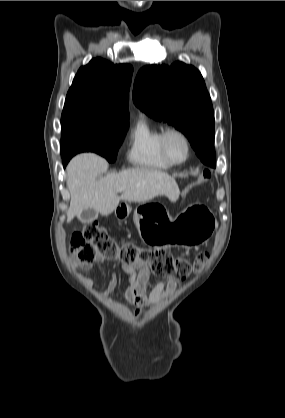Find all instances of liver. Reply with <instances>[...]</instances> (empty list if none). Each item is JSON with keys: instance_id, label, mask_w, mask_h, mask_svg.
Masks as SVG:
<instances>
[{"instance_id": "liver-1", "label": "liver", "mask_w": 285, "mask_h": 418, "mask_svg": "<svg viewBox=\"0 0 285 418\" xmlns=\"http://www.w3.org/2000/svg\"><path fill=\"white\" fill-rule=\"evenodd\" d=\"M108 162L93 153L75 156L67 166V186L71 195L67 211V221L82 212L93 208L101 215L111 214L120 200L145 203L156 196L165 195L172 202L179 197L180 191L173 177L165 172L133 168L120 173L107 174L97 180L106 171ZM124 188L121 196L118 189Z\"/></svg>"}]
</instances>
